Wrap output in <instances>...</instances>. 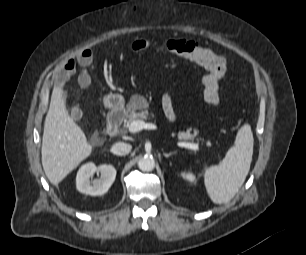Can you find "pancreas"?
<instances>
[{
	"label": "pancreas",
	"mask_w": 306,
	"mask_h": 255,
	"mask_svg": "<svg viewBox=\"0 0 306 255\" xmlns=\"http://www.w3.org/2000/svg\"><path fill=\"white\" fill-rule=\"evenodd\" d=\"M148 103L145 99H141V102L137 103L136 98H132L130 104L127 108V114L125 118V125L127 126L132 121L135 120H147L149 118V112L147 110ZM140 110L139 112H136L135 110ZM174 136H177L179 140H193L196 135L197 131L194 132V134H191L190 130L179 131L178 133H174Z\"/></svg>",
	"instance_id": "pancreas-1"
}]
</instances>
